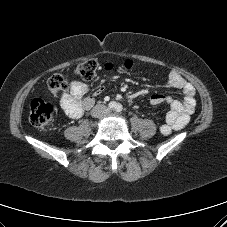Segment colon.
Returning <instances> with one entry per match:
<instances>
[{"label":"colon","mask_w":227,"mask_h":227,"mask_svg":"<svg viewBox=\"0 0 227 227\" xmlns=\"http://www.w3.org/2000/svg\"><path fill=\"white\" fill-rule=\"evenodd\" d=\"M126 71H133L135 65L131 60L124 62ZM98 70V64L95 60L89 59L80 63L75 68V74L82 80H91ZM69 88V78L66 75L56 74L48 80V89L54 96L67 91ZM56 114V106L41 98H35L30 105V122L37 128H48L51 126Z\"/></svg>","instance_id":"1"}]
</instances>
